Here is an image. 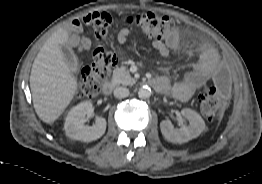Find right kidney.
Here are the masks:
<instances>
[{"label":"right kidney","instance_id":"right-kidney-1","mask_svg":"<svg viewBox=\"0 0 262 184\" xmlns=\"http://www.w3.org/2000/svg\"><path fill=\"white\" fill-rule=\"evenodd\" d=\"M91 111L92 103L90 101L82 102L69 111L64 123L67 137L73 140L91 142L99 139L105 133V118H97L92 126L85 125L86 116Z\"/></svg>","mask_w":262,"mask_h":184}]
</instances>
